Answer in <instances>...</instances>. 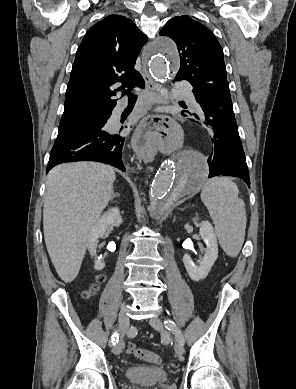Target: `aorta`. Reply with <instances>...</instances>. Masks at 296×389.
Returning <instances> with one entry per match:
<instances>
[{
    "label": "aorta",
    "instance_id": "1",
    "mask_svg": "<svg viewBox=\"0 0 296 389\" xmlns=\"http://www.w3.org/2000/svg\"><path fill=\"white\" fill-rule=\"evenodd\" d=\"M150 62L152 76L164 81L168 75H178L179 56L175 43L167 38H158L153 45ZM206 157L193 150L185 153V159L176 166L165 162L157 171L150 190V214L160 218L180 197L193 193L207 175Z\"/></svg>",
    "mask_w": 296,
    "mask_h": 389
}]
</instances>
